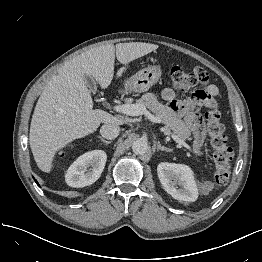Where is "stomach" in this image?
Returning <instances> with one entry per match:
<instances>
[{"label":"stomach","instance_id":"obj_1","mask_svg":"<svg viewBox=\"0 0 262 262\" xmlns=\"http://www.w3.org/2000/svg\"><path fill=\"white\" fill-rule=\"evenodd\" d=\"M161 75L160 66L146 67L125 80V89L130 92H145L159 81Z\"/></svg>","mask_w":262,"mask_h":262}]
</instances>
